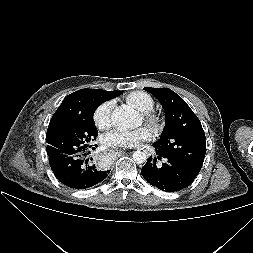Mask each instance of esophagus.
Segmentation results:
<instances>
[{
	"label": "esophagus",
	"instance_id": "obj_1",
	"mask_svg": "<svg viewBox=\"0 0 253 253\" xmlns=\"http://www.w3.org/2000/svg\"><path fill=\"white\" fill-rule=\"evenodd\" d=\"M106 154H115V155H120L123 153L121 149L118 148H109L105 151Z\"/></svg>",
	"mask_w": 253,
	"mask_h": 253
}]
</instances>
